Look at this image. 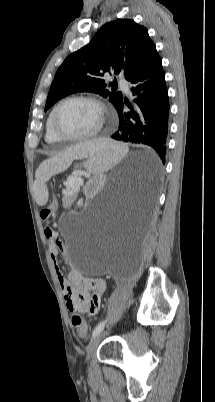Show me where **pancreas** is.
I'll list each match as a JSON object with an SVG mask.
<instances>
[{"label": "pancreas", "mask_w": 215, "mask_h": 402, "mask_svg": "<svg viewBox=\"0 0 215 402\" xmlns=\"http://www.w3.org/2000/svg\"><path fill=\"white\" fill-rule=\"evenodd\" d=\"M78 188H79V187H78L77 185H72V186L68 185V186L66 187L67 190H77Z\"/></svg>", "instance_id": "obj_1"}]
</instances>
